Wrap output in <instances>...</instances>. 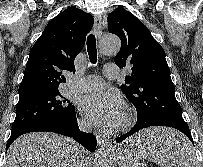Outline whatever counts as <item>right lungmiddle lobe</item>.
Segmentation results:
<instances>
[{"mask_svg":"<svg viewBox=\"0 0 203 167\" xmlns=\"http://www.w3.org/2000/svg\"><path fill=\"white\" fill-rule=\"evenodd\" d=\"M74 113L75 107L60 94L59 90L31 98L17 104L12 134Z\"/></svg>","mask_w":203,"mask_h":167,"instance_id":"right-lung-middle-lobe-1","label":"right lung middle lobe"}]
</instances>
